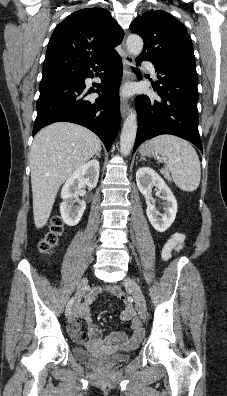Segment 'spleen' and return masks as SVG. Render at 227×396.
<instances>
[{
	"mask_svg": "<svg viewBox=\"0 0 227 396\" xmlns=\"http://www.w3.org/2000/svg\"><path fill=\"white\" fill-rule=\"evenodd\" d=\"M149 143L164 157L165 168L178 188L187 192L198 188L201 179L199 157L187 141L173 135H160Z\"/></svg>",
	"mask_w": 227,
	"mask_h": 396,
	"instance_id": "3e777b00",
	"label": "spleen"
}]
</instances>
